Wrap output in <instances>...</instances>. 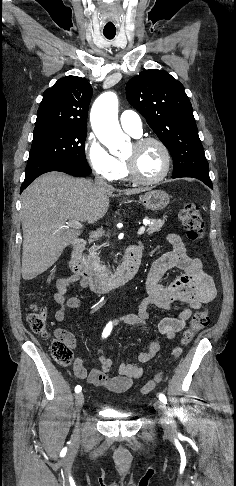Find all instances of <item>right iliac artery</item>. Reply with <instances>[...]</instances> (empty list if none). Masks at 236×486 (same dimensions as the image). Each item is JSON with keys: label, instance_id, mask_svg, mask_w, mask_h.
<instances>
[{"label": "right iliac artery", "instance_id": "right-iliac-artery-1", "mask_svg": "<svg viewBox=\"0 0 236 486\" xmlns=\"http://www.w3.org/2000/svg\"><path fill=\"white\" fill-rule=\"evenodd\" d=\"M111 330H112V323H111V322H109V323L106 325V327H105V329H104V331H103V333H102V337H105V338H106V337H107V336L110 334ZM81 390H82L81 386L77 385V386L75 387V392H76V393H79Z\"/></svg>", "mask_w": 236, "mask_h": 486}]
</instances>
